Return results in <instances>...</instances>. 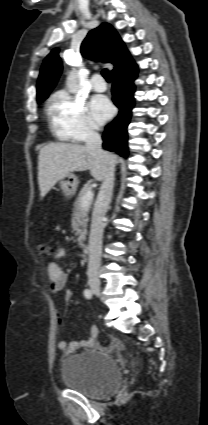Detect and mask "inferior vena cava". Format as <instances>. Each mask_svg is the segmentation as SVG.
I'll return each instance as SVG.
<instances>
[{
    "instance_id": "1",
    "label": "inferior vena cava",
    "mask_w": 208,
    "mask_h": 425,
    "mask_svg": "<svg viewBox=\"0 0 208 425\" xmlns=\"http://www.w3.org/2000/svg\"><path fill=\"white\" fill-rule=\"evenodd\" d=\"M102 140L92 127L87 130L86 147L97 154L106 164V172L98 193L93 214L89 237V282L99 284V267L102 254L103 219L109 208L114 187L115 160L110 153L102 150Z\"/></svg>"
}]
</instances>
